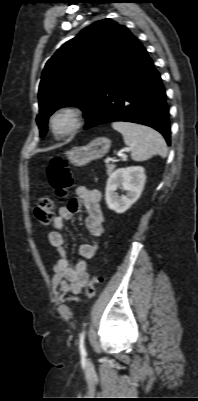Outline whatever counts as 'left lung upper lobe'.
Instances as JSON below:
<instances>
[{"label": "left lung upper lobe", "instance_id": "1", "mask_svg": "<svg viewBox=\"0 0 198 401\" xmlns=\"http://www.w3.org/2000/svg\"><path fill=\"white\" fill-rule=\"evenodd\" d=\"M137 39L125 27L104 19L83 29L48 60L39 86L40 136L48 117L58 108L73 105L89 113L104 83Z\"/></svg>", "mask_w": 198, "mask_h": 401}]
</instances>
